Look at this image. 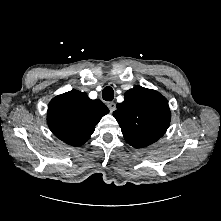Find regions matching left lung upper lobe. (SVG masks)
I'll return each instance as SVG.
<instances>
[{"label":"left lung upper lobe","instance_id":"5c2ea615","mask_svg":"<svg viewBox=\"0 0 221 221\" xmlns=\"http://www.w3.org/2000/svg\"><path fill=\"white\" fill-rule=\"evenodd\" d=\"M113 116L121 127L125 140L135 148L156 142L169 127L168 101L159 92L136 86L125 93Z\"/></svg>","mask_w":221,"mask_h":221}]
</instances>
